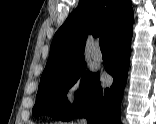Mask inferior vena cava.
Wrapping results in <instances>:
<instances>
[{
  "label": "inferior vena cava",
  "mask_w": 156,
  "mask_h": 124,
  "mask_svg": "<svg viewBox=\"0 0 156 124\" xmlns=\"http://www.w3.org/2000/svg\"><path fill=\"white\" fill-rule=\"evenodd\" d=\"M80 124H87L86 119H81V120H80Z\"/></svg>",
  "instance_id": "inferior-vena-cava-1"
}]
</instances>
